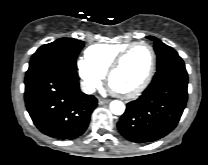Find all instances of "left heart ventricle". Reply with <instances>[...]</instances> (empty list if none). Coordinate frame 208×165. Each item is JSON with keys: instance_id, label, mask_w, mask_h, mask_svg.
<instances>
[{"instance_id": "obj_1", "label": "left heart ventricle", "mask_w": 208, "mask_h": 165, "mask_svg": "<svg viewBox=\"0 0 208 165\" xmlns=\"http://www.w3.org/2000/svg\"><path fill=\"white\" fill-rule=\"evenodd\" d=\"M150 62V50L145 46L135 47L113 74L111 79L112 86L121 91L135 88L146 76Z\"/></svg>"}]
</instances>
